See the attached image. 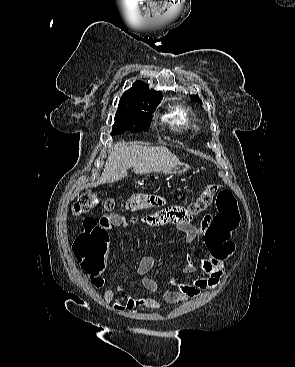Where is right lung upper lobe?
<instances>
[{
	"instance_id": "1",
	"label": "right lung upper lobe",
	"mask_w": 295,
	"mask_h": 367,
	"mask_svg": "<svg viewBox=\"0 0 295 367\" xmlns=\"http://www.w3.org/2000/svg\"><path fill=\"white\" fill-rule=\"evenodd\" d=\"M161 99V92L153 89L150 90L147 84L142 81H137L120 98L118 110L127 109L129 106L138 103L159 104Z\"/></svg>"
}]
</instances>
